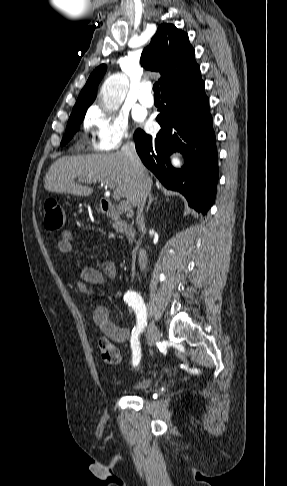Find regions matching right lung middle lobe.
Listing matches in <instances>:
<instances>
[{"label":"right lung middle lobe","instance_id":"obj_1","mask_svg":"<svg viewBox=\"0 0 287 486\" xmlns=\"http://www.w3.org/2000/svg\"><path fill=\"white\" fill-rule=\"evenodd\" d=\"M85 112L72 114L69 118L67 123L66 132L62 139L61 145H65L74 135V133L78 130L80 123L82 122Z\"/></svg>","mask_w":287,"mask_h":486}]
</instances>
